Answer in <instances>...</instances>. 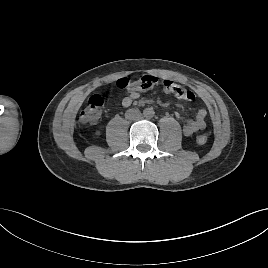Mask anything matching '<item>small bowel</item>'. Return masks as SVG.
Listing matches in <instances>:
<instances>
[{
    "label": "small bowel",
    "mask_w": 268,
    "mask_h": 268,
    "mask_svg": "<svg viewBox=\"0 0 268 268\" xmlns=\"http://www.w3.org/2000/svg\"><path fill=\"white\" fill-rule=\"evenodd\" d=\"M139 97L140 90L131 89L129 94L122 99V105L129 107ZM175 116L181 122L185 136H191L206 127L207 111L205 109H199L194 118H186L180 113H176Z\"/></svg>",
    "instance_id": "small-bowel-1"
}]
</instances>
